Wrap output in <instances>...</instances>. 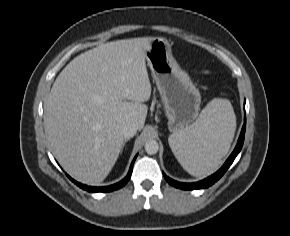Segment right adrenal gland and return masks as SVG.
Returning <instances> with one entry per match:
<instances>
[{"instance_id": "right-adrenal-gland-1", "label": "right adrenal gland", "mask_w": 290, "mask_h": 236, "mask_svg": "<svg viewBox=\"0 0 290 236\" xmlns=\"http://www.w3.org/2000/svg\"><path fill=\"white\" fill-rule=\"evenodd\" d=\"M129 139H125L124 140V143H123V146H122V150H121V152L123 151V148H124V146H125V144H126V142L128 141Z\"/></svg>"}]
</instances>
